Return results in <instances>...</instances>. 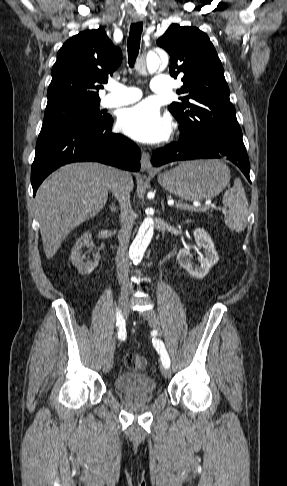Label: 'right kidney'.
Returning a JSON list of instances; mask_svg holds the SVG:
<instances>
[{
  "mask_svg": "<svg viewBox=\"0 0 287 486\" xmlns=\"http://www.w3.org/2000/svg\"><path fill=\"white\" fill-rule=\"evenodd\" d=\"M92 241V235L89 232L84 233L79 237L75 245L72 248L70 260L72 264L77 268L78 272L82 275L90 274L99 264L100 254L96 253L94 260L84 261L82 255V248L90 246Z\"/></svg>",
  "mask_w": 287,
  "mask_h": 486,
  "instance_id": "1",
  "label": "right kidney"
}]
</instances>
